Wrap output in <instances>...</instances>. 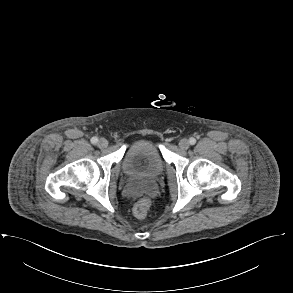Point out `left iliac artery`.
I'll return each instance as SVG.
<instances>
[{"label": "left iliac artery", "instance_id": "44dca946", "mask_svg": "<svg viewBox=\"0 0 293 293\" xmlns=\"http://www.w3.org/2000/svg\"><path fill=\"white\" fill-rule=\"evenodd\" d=\"M189 142L191 145H194L196 143V139L192 137L189 139Z\"/></svg>", "mask_w": 293, "mask_h": 293}]
</instances>
